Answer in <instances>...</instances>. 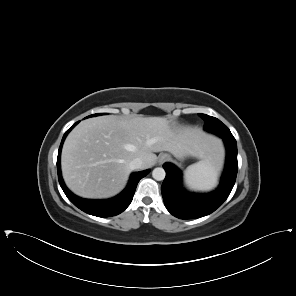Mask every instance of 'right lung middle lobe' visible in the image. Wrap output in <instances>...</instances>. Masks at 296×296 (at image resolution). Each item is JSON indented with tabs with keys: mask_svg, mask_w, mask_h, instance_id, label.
Wrapping results in <instances>:
<instances>
[{
	"mask_svg": "<svg viewBox=\"0 0 296 296\" xmlns=\"http://www.w3.org/2000/svg\"><path fill=\"white\" fill-rule=\"evenodd\" d=\"M105 113H98V114H94V115H90L88 117H92V116H98V115H104Z\"/></svg>",
	"mask_w": 296,
	"mask_h": 296,
	"instance_id": "dd1d6c3e",
	"label": "right lung middle lobe"
}]
</instances>
